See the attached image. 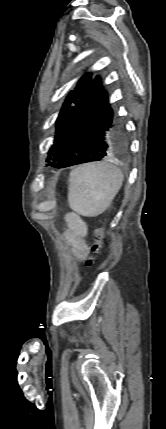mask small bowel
<instances>
[{
    "instance_id": "c3829d8e",
    "label": "small bowel",
    "mask_w": 166,
    "mask_h": 429,
    "mask_svg": "<svg viewBox=\"0 0 166 429\" xmlns=\"http://www.w3.org/2000/svg\"><path fill=\"white\" fill-rule=\"evenodd\" d=\"M66 232L65 238L71 246V251L77 260L87 258L89 248L85 242V237L88 233V228L85 222L76 213H68L65 217Z\"/></svg>"
}]
</instances>
